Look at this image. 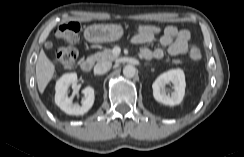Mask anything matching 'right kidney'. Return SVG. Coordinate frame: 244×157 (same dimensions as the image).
<instances>
[{"instance_id":"right-kidney-1","label":"right kidney","mask_w":244,"mask_h":157,"mask_svg":"<svg viewBox=\"0 0 244 157\" xmlns=\"http://www.w3.org/2000/svg\"><path fill=\"white\" fill-rule=\"evenodd\" d=\"M72 86L75 88L77 86V74L76 73H67L64 74L56 82V93H55V103L56 105L68 115H83L87 113L94 103V89L91 86H88L82 90L84 94V99L82 105L73 104V99L68 97V87Z\"/></svg>"}]
</instances>
